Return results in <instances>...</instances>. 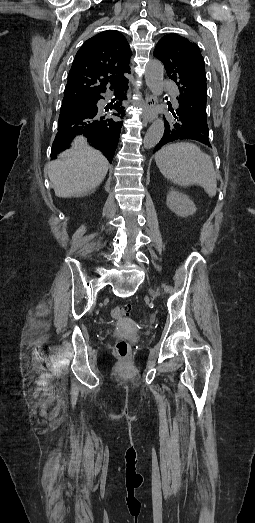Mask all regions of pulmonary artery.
<instances>
[{
    "label": "pulmonary artery",
    "mask_w": 255,
    "mask_h": 523,
    "mask_svg": "<svg viewBox=\"0 0 255 523\" xmlns=\"http://www.w3.org/2000/svg\"><path fill=\"white\" fill-rule=\"evenodd\" d=\"M163 84L165 86L166 93L170 99V102H169L170 107L173 109L178 108L180 105V102L178 100L179 90H178L177 83L175 82V80L173 78H166V79H164Z\"/></svg>",
    "instance_id": "1"
}]
</instances>
